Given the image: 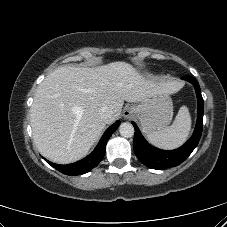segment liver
Instances as JSON below:
<instances>
[{"label": "liver", "mask_w": 227, "mask_h": 227, "mask_svg": "<svg viewBox=\"0 0 227 227\" xmlns=\"http://www.w3.org/2000/svg\"><path fill=\"white\" fill-rule=\"evenodd\" d=\"M178 89L176 81L147 79L122 61L92 68L59 67L46 76L34 97L30 115L34 143L53 162H75L87 154L106 124L120 116L124 101L139 103ZM103 106L112 113L108 121L101 118Z\"/></svg>", "instance_id": "liver-1"}]
</instances>
